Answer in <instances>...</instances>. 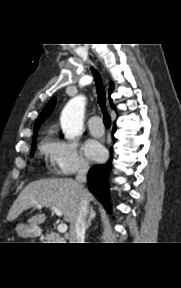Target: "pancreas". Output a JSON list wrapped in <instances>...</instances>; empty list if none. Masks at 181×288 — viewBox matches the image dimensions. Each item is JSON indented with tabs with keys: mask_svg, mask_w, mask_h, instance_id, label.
<instances>
[{
	"mask_svg": "<svg viewBox=\"0 0 181 288\" xmlns=\"http://www.w3.org/2000/svg\"><path fill=\"white\" fill-rule=\"evenodd\" d=\"M47 243H61V238H59L55 233L48 234L45 237Z\"/></svg>",
	"mask_w": 181,
	"mask_h": 288,
	"instance_id": "pancreas-1",
	"label": "pancreas"
}]
</instances>
